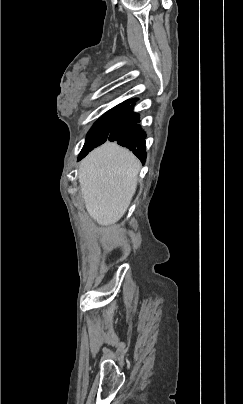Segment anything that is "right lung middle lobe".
I'll return each instance as SVG.
<instances>
[{
  "label": "right lung middle lobe",
  "instance_id": "1",
  "mask_svg": "<svg viewBox=\"0 0 243 404\" xmlns=\"http://www.w3.org/2000/svg\"><path fill=\"white\" fill-rule=\"evenodd\" d=\"M128 105L120 104L107 111L88 132L86 142L78 156V160L85 157L91 150L107 141L115 122L122 116Z\"/></svg>",
  "mask_w": 243,
  "mask_h": 404
}]
</instances>
